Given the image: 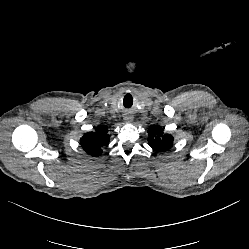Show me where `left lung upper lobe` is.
<instances>
[{"mask_svg":"<svg viewBox=\"0 0 249 249\" xmlns=\"http://www.w3.org/2000/svg\"><path fill=\"white\" fill-rule=\"evenodd\" d=\"M149 138V146L156 151H165L172 147L173 137L169 134L163 133V128L154 125L151 126L148 130Z\"/></svg>","mask_w":249,"mask_h":249,"instance_id":"5c2ea615","label":"left lung upper lobe"}]
</instances>
